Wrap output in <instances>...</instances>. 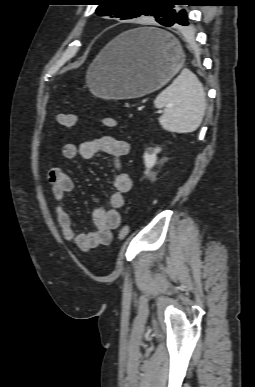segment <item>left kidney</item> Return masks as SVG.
Returning a JSON list of instances; mask_svg holds the SVG:
<instances>
[{"instance_id": "obj_1", "label": "left kidney", "mask_w": 255, "mask_h": 387, "mask_svg": "<svg viewBox=\"0 0 255 387\" xmlns=\"http://www.w3.org/2000/svg\"><path fill=\"white\" fill-rule=\"evenodd\" d=\"M160 152V148H155L152 154H144V164L146 166L145 174L149 173V170L157 163V153Z\"/></svg>"}]
</instances>
